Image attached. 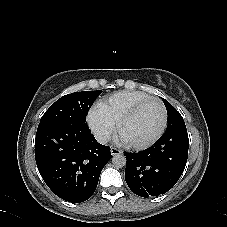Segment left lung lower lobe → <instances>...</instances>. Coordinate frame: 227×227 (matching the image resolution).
Segmentation results:
<instances>
[{
    "label": "left lung lower lobe",
    "instance_id": "obj_1",
    "mask_svg": "<svg viewBox=\"0 0 227 227\" xmlns=\"http://www.w3.org/2000/svg\"><path fill=\"white\" fill-rule=\"evenodd\" d=\"M189 139L185 122L168 124L165 133L150 148L127 153L125 180L141 197L169 191L182 175L188 157Z\"/></svg>",
    "mask_w": 227,
    "mask_h": 227
}]
</instances>
